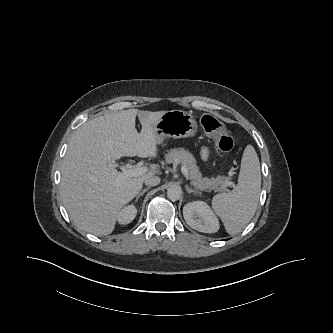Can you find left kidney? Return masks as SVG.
<instances>
[{"label": "left kidney", "mask_w": 333, "mask_h": 333, "mask_svg": "<svg viewBox=\"0 0 333 333\" xmlns=\"http://www.w3.org/2000/svg\"><path fill=\"white\" fill-rule=\"evenodd\" d=\"M186 223L203 233H215L219 230V220L204 201L187 203L183 208Z\"/></svg>", "instance_id": "left-kidney-1"}]
</instances>
